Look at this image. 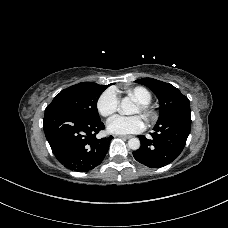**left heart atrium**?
I'll return each mask as SVG.
<instances>
[{"instance_id": "obj_1", "label": "left heart atrium", "mask_w": 228, "mask_h": 228, "mask_svg": "<svg viewBox=\"0 0 228 228\" xmlns=\"http://www.w3.org/2000/svg\"><path fill=\"white\" fill-rule=\"evenodd\" d=\"M144 121L139 115L124 117L115 115L107 122V129L114 134L138 133L144 129Z\"/></svg>"}]
</instances>
